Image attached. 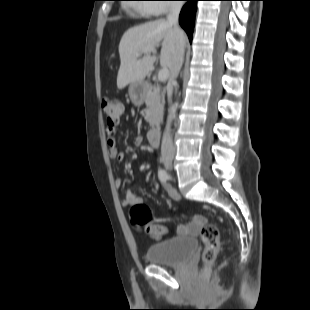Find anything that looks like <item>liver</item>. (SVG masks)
<instances>
[{
    "label": "liver",
    "instance_id": "obj_1",
    "mask_svg": "<svg viewBox=\"0 0 310 310\" xmlns=\"http://www.w3.org/2000/svg\"><path fill=\"white\" fill-rule=\"evenodd\" d=\"M160 44V64L170 70L176 51V31L167 20L158 19L132 27L123 34L119 43L118 89H123L131 82L145 79L156 61V56L144 53L143 50L158 47ZM142 54L143 57L139 58Z\"/></svg>",
    "mask_w": 310,
    "mask_h": 310
}]
</instances>
